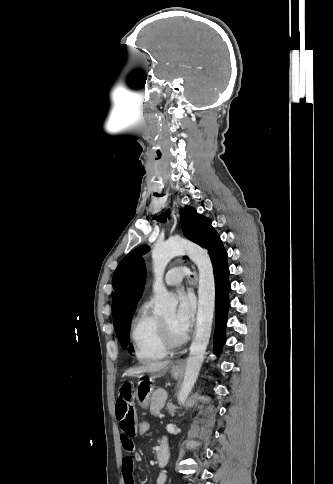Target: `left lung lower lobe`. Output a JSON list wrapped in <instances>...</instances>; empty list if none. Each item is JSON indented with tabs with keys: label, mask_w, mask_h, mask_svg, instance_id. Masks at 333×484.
I'll return each instance as SVG.
<instances>
[{
	"label": "left lung lower lobe",
	"mask_w": 333,
	"mask_h": 484,
	"mask_svg": "<svg viewBox=\"0 0 333 484\" xmlns=\"http://www.w3.org/2000/svg\"><path fill=\"white\" fill-rule=\"evenodd\" d=\"M209 252L215 276V307H216V327L213 338L214 353L219 354L225 343V327L227 324V312L229 308L228 294L231 289L229 283V268L227 265V252L223 243L211 226L207 224L203 236L202 244Z\"/></svg>",
	"instance_id": "obj_1"
}]
</instances>
